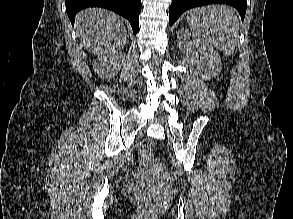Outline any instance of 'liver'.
Segmentation results:
<instances>
[{
    "label": "liver",
    "instance_id": "liver-1",
    "mask_svg": "<svg viewBox=\"0 0 293 219\" xmlns=\"http://www.w3.org/2000/svg\"><path fill=\"white\" fill-rule=\"evenodd\" d=\"M76 28L85 49L98 56L120 52L128 41L120 17L104 9L90 8L78 13Z\"/></svg>",
    "mask_w": 293,
    "mask_h": 219
}]
</instances>
